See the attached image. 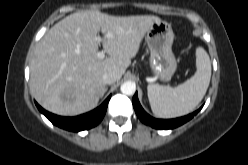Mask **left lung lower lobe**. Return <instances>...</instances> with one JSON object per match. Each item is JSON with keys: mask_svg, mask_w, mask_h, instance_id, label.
Listing matches in <instances>:
<instances>
[{"mask_svg": "<svg viewBox=\"0 0 248 165\" xmlns=\"http://www.w3.org/2000/svg\"><path fill=\"white\" fill-rule=\"evenodd\" d=\"M133 106L135 109V112L137 114V116L139 117V119L145 123L146 125H150L153 128L156 129H173L176 128L182 124H184L185 122L189 121L190 119L193 118L194 115H196L199 111H195L194 113H191L187 116L184 117H180V118H176V119H169V120H163V119H155L153 117H151L150 115H148L143 108L141 107L139 101H138V97H137V92L135 93V95L133 96Z\"/></svg>", "mask_w": 248, "mask_h": 165, "instance_id": "left-lung-lower-lobe-1", "label": "left lung lower lobe"}]
</instances>
